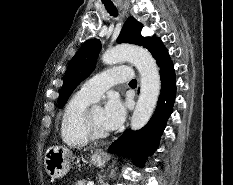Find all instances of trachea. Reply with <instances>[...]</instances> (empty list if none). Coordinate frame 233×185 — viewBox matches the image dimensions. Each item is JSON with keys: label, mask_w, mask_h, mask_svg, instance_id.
<instances>
[{"label": "trachea", "mask_w": 233, "mask_h": 185, "mask_svg": "<svg viewBox=\"0 0 233 185\" xmlns=\"http://www.w3.org/2000/svg\"><path fill=\"white\" fill-rule=\"evenodd\" d=\"M106 10L111 16H118V11L113 3H104ZM129 84H137V81L135 79L131 80Z\"/></svg>", "instance_id": "1"}]
</instances>
